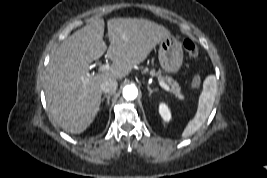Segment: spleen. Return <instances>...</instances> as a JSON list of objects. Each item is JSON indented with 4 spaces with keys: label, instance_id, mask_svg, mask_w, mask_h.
Returning a JSON list of instances; mask_svg holds the SVG:
<instances>
[{
    "label": "spleen",
    "instance_id": "3e777b00",
    "mask_svg": "<svg viewBox=\"0 0 267 178\" xmlns=\"http://www.w3.org/2000/svg\"><path fill=\"white\" fill-rule=\"evenodd\" d=\"M217 91L216 79L208 76L203 83V90L199 97L198 108L193 119H191L182 132V138H187L197 132L208 118L215 101Z\"/></svg>",
    "mask_w": 267,
    "mask_h": 178
}]
</instances>
